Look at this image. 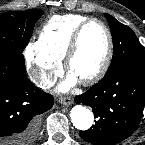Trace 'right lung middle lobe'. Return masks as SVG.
<instances>
[{
  "label": "right lung middle lobe",
  "mask_w": 145,
  "mask_h": 145,
  "mask_svg": "<svg viewBox=\"0 0 145 145\" xmlns=\"http://www.w3.org/2000/svg\"><path fill=\"white\" fill-rule=\"evenodd\" d=\"M42 14L40 9H30L22 12L8 11L0 15V54L22 53Z\"/></svg>",
  "instance_id": "1"
}]
</instances>
